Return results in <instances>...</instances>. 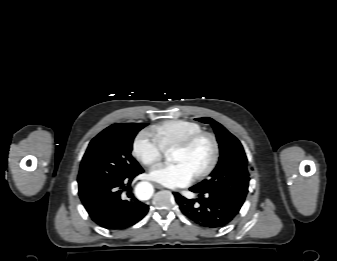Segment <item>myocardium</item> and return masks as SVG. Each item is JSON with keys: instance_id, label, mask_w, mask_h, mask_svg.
Returning a JSON list of instances; mask_svg holds the SVG:
<instances>
[{"instance_id": "myocardium-1", "label": "myocardium", "mask_w": 337, "mask_h": 261, "mask_svg": "<svg viewBox=\"0 0 337 261\" xmlns=\"http://www.w3.org/2000/svg\"><path fill=\"white\" fill-rule=\"evenodd\" d=\"M203 138H208L211 141L212 146H213V154H212V158L208 166L202 171L194 175L196 179H203L207 177L208 175H210L214 171V169L216 168L219 162L221 149H220V143H219L217 136L211 132L201 131V132L195 133L191 135L190 137L186 138L184 141L179 143L174 148V150H182V151L189 150L192 147H194L196 143H198Z\"/></svg>"}]
</instances>
